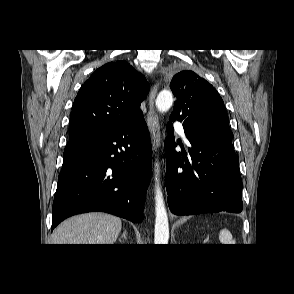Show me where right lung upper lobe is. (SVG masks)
Listing matches in <instances>:
<instances>
[{
	"instance_id": "1",
	"label": "right lung upper lobe",
	"mask_w": 294,
	"mask_h": 294,
	"mask_svg": "<svg viewBox=\"0 0 294 294\" xmlns=\"http://www.w3.org/2000/svg\"><path fill=\"white\" fill-rule=\"evenodd\" d=\"M149 92L146 78L126 61L98 68L80 88L73 104L70 140L116 128L141 113Z\"/></svg>"
}]
</instances>
